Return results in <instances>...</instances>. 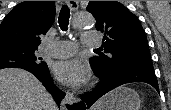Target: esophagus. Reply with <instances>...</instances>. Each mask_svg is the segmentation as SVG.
I'll return each instance as SVG.
<instances>
[{"mask_svg":"<svg viewBox=\"0 0 171 110\" xmlns=\"http://www.w3.org/2000/svg\"><path fill=\"white\" fill-rule=\"evenodd\" d=\"M67 4L72 11H76L78 9V1H67ZM77 103L78 100L73 93L67 92L61 105L63 110H75Z\"/></svg>","mask_w":171,"mask_h":110,"instance_id":"esophagus-1","label":"esophagus"}]
</instances>
